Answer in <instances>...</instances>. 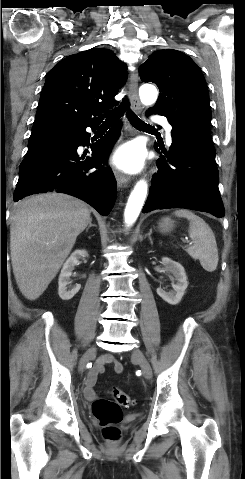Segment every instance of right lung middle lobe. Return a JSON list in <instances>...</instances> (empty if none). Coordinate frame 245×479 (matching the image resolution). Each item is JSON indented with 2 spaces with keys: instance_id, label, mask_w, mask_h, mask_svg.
<instances>
[{
  "instance_id": "right-lung-middle-lobe-1",
  "label": "right lung middle lobe",
  "mask_w": 245,
  "mask_h": 479,
  "mask_svg": "<svg viewBox=\"0 0 245 479\" xmlns=\"http://www.w3.org/2000/svg\"><path fill=\"white\" fill-rule=\"evenodd\" d=\"M47 132L48 131H46V132H32L29 140L31 141V140H34L36 138H39Z\"/></svg>"
}]
</instances>
